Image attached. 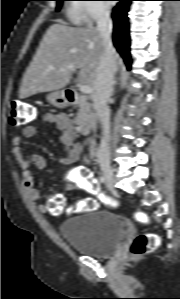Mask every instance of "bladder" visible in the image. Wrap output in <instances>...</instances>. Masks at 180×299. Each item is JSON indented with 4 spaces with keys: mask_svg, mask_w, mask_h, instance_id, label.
I'll return each instance as SVG.
<instances>
[{
    "mask_svg": "<svg viewBox=\"0 0 180 299\" xmlns=\"http://www.w3.org/2000/svg\"><path fill=\"white\" fill-rule=\"evenodd\" d=\"M60 233L75 251L96 258L114 254L124 239V221L108 209L72 216L60 225Z\"/></svg>",
    "mask_w": 180,
    "mask_h": 299,
    "instance_id": "31cf9c89",
    "label": "bladder"
}]
</instances>
